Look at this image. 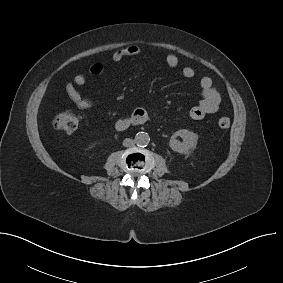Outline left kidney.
<instances>
[{
  "label": "left kidney",
  "instance_id": "5707ae66",
  "mask_svg": "<svg viewBox=\"0 0 283 283\" xmlns=\"http://www.w3.org/2000/svg\"><path fill=\"white\" fill-rule=\"evenodd\" d=\"M180 136L183 139V142L177 140V137ZM198 141V135L192 131L181 129L176 131L170 138L169 146L170 148L180 154L187 153L190 149L195 148Z\"/></svg>",
  "mask_w": 283,
  "mask_h": 283
}]
</instances>
